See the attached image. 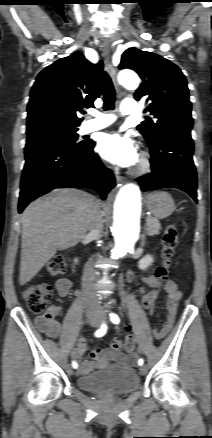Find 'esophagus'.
<instances>
[{
  "label": "esophagus",
  "instance_id": "1",
  "mask_svg": "<svg viewBox=\"0 0 212 438\" xmlns=\"http://www.w3.org/2000/svg\"><path fill=\"white\" fill-rule=\"evenodd\" d=\"M110 47L111 46H110L109 42H104L103 43V49H102L103 56H104V58H105V60L107 62L109 74L112 77L113 82H114V84L116 86L117 96H118V98H121L122 97V92H121V90L119 89V87L117 85V77H116L117 70H116V68L111 63ZM115 178H116V181L118 183H122L123 182V178L119 174H117V173L115 175Z\"/></svg>",
  "mask_w": 212,
  "mask_h": 438
}]
</instances>
